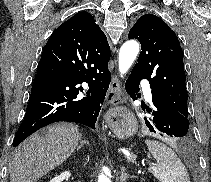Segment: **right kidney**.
Segmentation results:
<instances>
[{"label":"right kidney","mask_w":211,"mask_h":182,"mask_svg":"<svg viewBox=\"0 0 211 182\" xmlns=\"http://www.w3.org/2000/svg\"><path fill=\"white\" fill-rule=\"evenodd\" d=\"M71 176V173L66 171L61 173L59 176L54 177L50 182H62L65 179H68Z\"/></svg>","instance_id":"obj_1"}]
</instances>
